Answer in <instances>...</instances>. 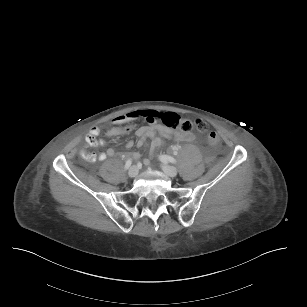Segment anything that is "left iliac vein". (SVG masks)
<instances>
[{
  "label": "left iliac vein",
  "instance_id": "1",
  "mask_svg": "<svg viewBox=\"0 0 307 307\" xmlns=\"http://www.w3.org/2000/svg\"><path fill=\"white\" fill-rule=\"evenodd\" d=\"M162 170L169 176V177H176L178 174L177 169L174 166L163 165Z\"/></svg>",
  "mask_w": 307,
  "mask_h": 307
}]
</instances>
